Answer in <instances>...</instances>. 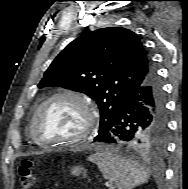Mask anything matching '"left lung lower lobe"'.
<instances>
[{
    "label": "left lung lower lobe",
    "mask_w": 188,
    "mask_h": 189,
    "mask_svg": "<svg viewBox=\"0 0 188 189\" xmlns=\"http://www.w3.org/2000/svg\"><path fill=\"white\" fill-rule=\"evenodd\" d=\"M165 97L156 71L134 88L118 113L112 127L94 141L129 144L146 130L161 133L166 130Z\"/></svg>",
    "instance_id": "obj_1"
}]
</instances>
